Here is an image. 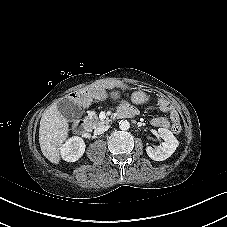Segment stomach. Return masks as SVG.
Instances as JSON below:
<instances>
[{
  "instance_id": "0dacf381",
  "label": "stomach",
  "mask_w": 227,
  "mask_h": 227,
  "mask_svg": "<svg viewBox=\"0 0 227 227\" xmlns=\"http://www.w3.org/2000/svg\"><path fill=\"white\" fill-rule=\"evenodd\" d=\"M114 98H119V91L112 92ZM131 100L135 104H143L148 101V96L143 91H136L132 94Z\"/></svg>"
}]
</instances>
